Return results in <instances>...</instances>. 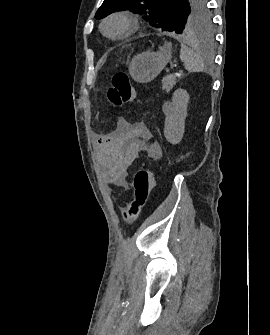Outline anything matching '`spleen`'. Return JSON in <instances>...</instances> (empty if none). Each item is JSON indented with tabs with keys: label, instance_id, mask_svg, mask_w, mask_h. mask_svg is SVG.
<instances>
[{
	"label": "spleen",
	"instance_id": "obj_1",
	"mask_svg": "<svg viewBox=\"0 0 270 335\" xmlns=\"http://www.w3.org/2000/svg\"><path fill=\"white\" fill-rule=\"evenodd\" d=\"M180 60L184 62L185 70H188V72H203L204 70L202 56L185 46V44H181Z\"/></svg>",
	"mask_w": 270,
	"mask_h": 335
}]
</instances>
